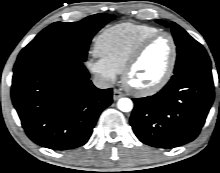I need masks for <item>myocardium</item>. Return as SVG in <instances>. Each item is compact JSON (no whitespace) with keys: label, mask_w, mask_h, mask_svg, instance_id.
Returning a JSON list of instances; mask_svg holds the SVG:
<instances>
[{"label":"myocardium","mask_w":220,"mask_h":173,"mask_svg":"<svg viewBox=\"0 0 220 173\" xmlns=\"http://www.w3.org/2000/svg\"><path fill=\"white\" fill-rule=\"evenodd\" d=\"M161 37H167L171 43V59L169 66L164 73V75L153 85L146 87V88H136L129 83V75L131 71L134 69L136 64L138 63L139 59L141 58L142 54L144 53L145 49L155 40ZM177 44L174 37L164 31H159L144 40H142L137 47L134 49L133 53L130 55L129 59L127 60L126 64L122 70V82L123 85L127 90H129L132 94L139 96V97H146L151 96L159 92L163 89L167 83L172 78L174 73L176 63H177Z\"/></svg>","instance_id":"f54148a6"}]
</instances>
